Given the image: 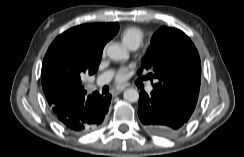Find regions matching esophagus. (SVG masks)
<instances>
[{"instance_id": "1", "label": "esophagus", "mask_w": 244, "mask_h": 157, "mask_svg": "<svg viewBox=\"0 0 244 157\" xmlns=\"http://www.w3.org/2000/svg\"><path fill=\"white\" fill-rule=\"evenodd\" d=\"M124 89H125V86L117 87V88L111 90V94L113 96H116V95L120 94Z\"/></svg>"}]
</instances>
